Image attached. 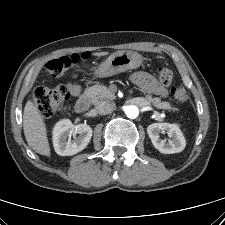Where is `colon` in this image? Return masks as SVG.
I'll return each mask as SVG.
<instances>
[{
	"label": "colon",
	"instance_id": "colon-1",
	"mask_svg": "<svg viewBox=\"0 0 225 225\" xmlns=\"http://www.w3.org/2000/svg\"><path fill=\"white\" fill-rule=\"evenodd\" d=\"M87 59V54L66 55L47 62L46 69L52 76L59 77ZM156 72L163 83L169 84L172 82L173 73L170 69L160 66L156 69ZM171 93L178 103H185L188 101V93L183 86L173 87ZM67 99L68 90L64 86L56 88L39 86L33 93V102L43 117L53 116Z\"/></svg>",
	"mask_w": 225,
	"mask_h": 225
}]
</instances>
